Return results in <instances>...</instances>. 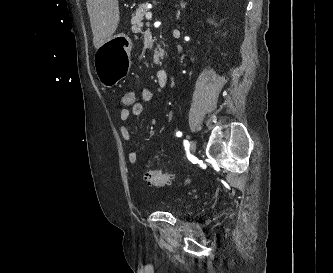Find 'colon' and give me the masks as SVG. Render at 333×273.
I'll use <instances>...</instances> for the list:
<instances>
[{"mask_svg": "<svg viewBox=\"0 0 333 273\" xmlns=\"http://www.w3.org/2000/svg\"><path fill=\"white\" fill-rule=\"evenodd\" d=\"M135 102V94L133 92L127 91L121 95L120 103L123 107L132 106ZM143 179L151 186H166L172 181V177L169 173L153 169L144 172ZM186 182H189V180H186Z\"/></svg>", "mask_w": 333, "mask_h": 273, "instance_id": "colon-1", "label": "colon"}]
</instances>
